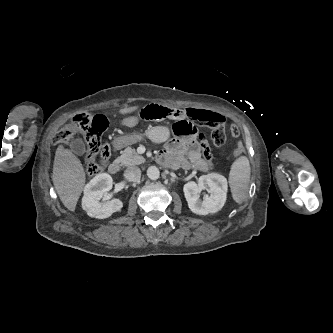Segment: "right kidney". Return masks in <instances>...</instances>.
Segmentation results:
<instances>
[{
	"instance_id": "obj_1",
	"label": "right kidney",
	"mask_w": 333,
	"mask_h": 333,
	"mask_svg": "<svg viewBox=\"0 0 333 333\" xmlns=\"http://www.w3.org/2000/svg\"><path fill=\"white\" fill-rule=\"evenodd\" d=\"M112 184V177L107 173H101L85 185L82 208L90 217L104 219L121 210L123 203L120 199L100 202L104 194L111 190Z\"/></svg>"
}]
</instances>
